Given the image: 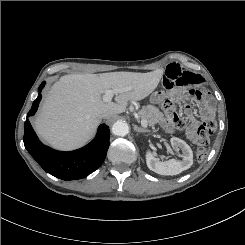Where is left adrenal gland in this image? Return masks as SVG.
<instances>
[{
  "mask_svg": "<svg viewBox=\"0 0 245 245\" xmlns=\"http://www.w3.org/2000/svg\"><path fill=\"white\" fill-rule=\"evenodd\" d=\"M134 131L138 132V133H146V132H150V130L148 129H144V128H140L137 125H134Z\"/></svg>",
  "mask_w": 245,
  "mask_h": 245,
  "instance_id": "left-adrenal-gland-1",
  "label": "left adrenal gland"
}]
</instances>
